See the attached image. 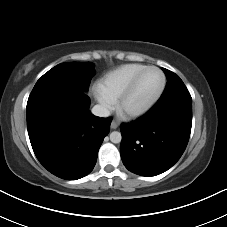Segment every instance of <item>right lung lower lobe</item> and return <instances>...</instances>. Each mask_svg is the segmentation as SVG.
<instances>
[{
    "label": "right lung lower lobe",
    "mask_w": 227,
    "mask_h": 227,
    "mask_svg": "<svg viewBox=\"0 0 227 227\" xmlns=\"http://www.w3.org/2000/svg\"><path fill=\"white\" fill-rule=\"evenodd\" d=\"M82 89L48 94L27 104V129L39 162L55 176L77 180L89 174L109 133L111 118L88 110Z\"/></svg>",
    "instance_id": "obj_1"
}]
</instances>
